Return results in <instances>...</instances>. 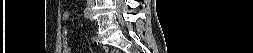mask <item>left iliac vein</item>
I'll return each instance as SVG.
<instances>
[{"label":"left iliac vein","mask_w":253,"mask_h":53,"mask_svg":"<svg viewBox=\"0 0 253 53\" xmlns=\"http://www.w3.org/2000/svg\"><path fill=\"white\" fill-rule=\"evenodd\" d=\"M89 18H90V20H93V14H92L91 10H90Z\"/></svg>","instance_id":"obj_1"}]
</instances>
